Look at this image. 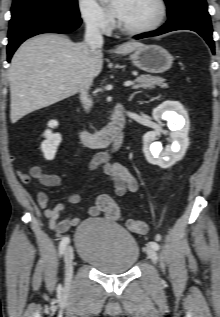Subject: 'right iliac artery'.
Here are the masks:
<instances>
[{"instance_id": "82829eb1", "label": "right iliac artery", "mask_w": 220, "mask_h": 317, "mask_svg": "<svg viewBox=\"0 0 220 317\" xmlns=\"http://www.w3.org/2000/svg\"><path fill=\"white\" fill-rule=\"evenodd\" d=\"M68 243H69V237H67V236L63 237L61 242H60V244H59V252H60V254L64 253Z\"/></svg>"}]
</instances>
